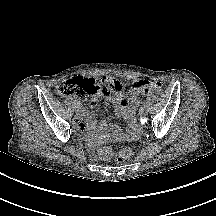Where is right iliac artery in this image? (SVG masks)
Masks as SVG:
<instances>
[{"mask_svg":"<svg viewBox=\"0 0 216 216\" xmlns=\"http://www.w3.org/2000/svg\"><path fill=\"white\" fill-rule=\"evenodd\" d=\"M75 104L78 108L81 106V103L79 101H77Z\"/></svg>","mask_w":216,"mask_h":216,"instance_id":"1","label":"right iliac artery"}]
</instances>
